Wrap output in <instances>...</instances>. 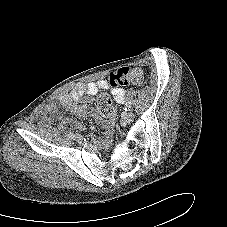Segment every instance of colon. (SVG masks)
I'll use <instances>...</instances> for the list:
<instances>
[{
	"mask_svg": "<svg viewBox=\"0 0 227 227\" xmlns=\"http://www.w3.org/2000/svg\"><path fill=\"white\" fill-rule=\"evenodd\" d=\"M111 88L118 89L120 86L129 84L141 85L145 82V75L139 68H120L111 72L108 77ZM112 106L111 98L107 93H102L97 99V108L101 113H106Z\"/></svg>",
	"mask_w": 227,
	"mask_h": 227,
	"instance_id": "5ec220e1",
	"label": "colon"
}]
</instances>
